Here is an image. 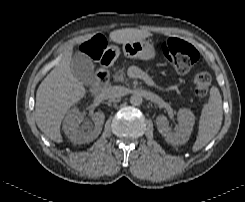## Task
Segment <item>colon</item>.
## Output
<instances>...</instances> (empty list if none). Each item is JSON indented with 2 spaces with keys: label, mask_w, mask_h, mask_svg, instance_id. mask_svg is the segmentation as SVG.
Masks as SVG:
<instances>
[{
  "label": "colon",
  "mask_w": 245,
  "mask_h": 202,
  "mask_svg": "<svg viewBox=\"0 0 245 202\" xmlns=\"http://www.w3.org/2000/svg\"><path fill=\"white\" fill-rule=\"evenodd\" d=\"M104 48V40L99 36L80 41L77 53L80 56L97 60ZM161 49L164 58L174 70L180 74L188 72L198 61V50L189 43L177 39L167 38L162 41ZM212 77L207 71L198 72L193 78L194 91L197 96H204L211 85Z\"/></svg>",
  "instance_id": "colon-1"
}]
</instances>
